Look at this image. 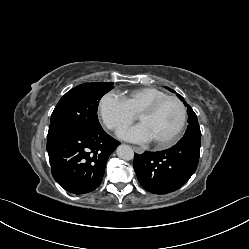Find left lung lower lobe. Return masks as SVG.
<instances>
[{
  "label": "left lung lower lobe",
  "instance_id": "obj_1",
  "mask_svg": "<svg viewBox=\"0 0 249 249\" xmlns=\"http://www.w3.org/2000/svg\"><path fill=\"white\" fill-rule=\"evenodd\" d=\"M201 140H181L170 149L134 156L140 184L154 194H167L183 186L195 172Z\"/></svg>",
  "mask_w": 249,
  "mask_h": 249
}]
</instances>
